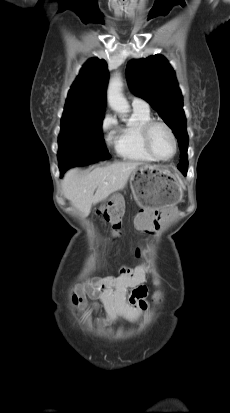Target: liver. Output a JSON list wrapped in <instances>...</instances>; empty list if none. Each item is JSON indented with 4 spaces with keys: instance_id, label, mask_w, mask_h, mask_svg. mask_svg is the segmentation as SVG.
I'll use <instances>...</instances> for the list:
<instances>
[{
    "instance_id": "obj_1",
    "label": "liver",
    "mask_w": 230,
    "mask_h": 413,
    "mask_svg": "<svg viewBox=\"0 0 230 413\" xmlns=\"http://www.w3.org/2000/svg\"><path fill=\"white\" fill-rule=\"evenodd\" d=\"M141 165L142 163L132 161L114 162L84 175L77 169H71L62 181L64 196L83 217H87L93 204L125 188L130 175Z\"/></svg>"
}]
</instances>
